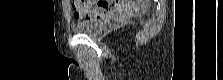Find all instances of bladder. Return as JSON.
I'll use <instances>...</instances> for the list:
<instances>
[{"label":"bladder","instance_id":"obj_1","mask_svg":"<svg viewBox=\"0 0 223 80\" xmlns=\"http://www.w3.org/2000/svg\"><path fill=\"white\" fill-rule=\"evenodd\" d=\"M111 15L102 14L97 17L86 19L72 25L74 32L87 35V36H96L101 33L108 25Z\"/></svg>","mask_w":223,"mask_h":80}]
</instances>
